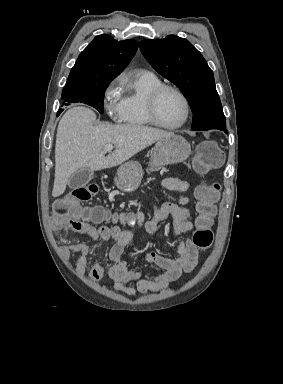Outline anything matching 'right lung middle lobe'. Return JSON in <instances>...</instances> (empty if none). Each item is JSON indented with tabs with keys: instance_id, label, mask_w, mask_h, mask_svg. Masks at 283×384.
<instances>
[{
	"instance_id": "1",
	"label": "right lung middle lobe",
	"mask_w": 283,
	"mask_h": 384,
	"mask_svg": "<svg viewBox=\"0 0 283 384\" xmlns=\"http://www.w3.org/2000/svg\"><path fill=\"white\" fill-rule=\"evenodd\" d=\"M109 83L89 85L83 87L64 88L62 92L63 105L84 103L103 113L104 94Z\"/></svg>"
}]
</instances>
